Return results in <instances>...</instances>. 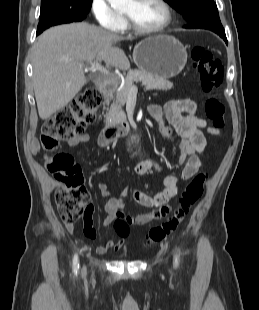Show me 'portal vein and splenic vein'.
Here are the masks:
<instances>
[{
  "label": "portal vein and splenic vein",
  "instance_id": "portal-vein-and-splenic-vein-1",
  "mask_svg": "<svg viewBox=\"0 0 259 310\" xmlns=\"http://www.w3.org/2000/svg\"><path fill=\"white\" fill-rule=\"evenodd\" d=\"M90 66L93 69L98 70L99 72L105 74V75H110V72L108 69L104 68L100 62H90ZM130 92H137V87L136 86H131L130 87Z\"/></svg>",
  "mask_w": 259,
  "mask_h": 310
}]
</instances>
